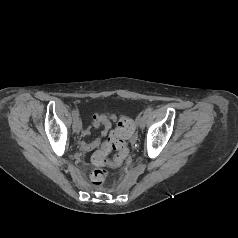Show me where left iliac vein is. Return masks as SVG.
Masks as SVG:
<instances>
[{"label":"left iliac vein","mask_w":238,"mask_h":238,"mask_svg":"<svg viewBox=\"0 0 238 238\" xmlns=\"http://www.w3.org/2000/svg\"><path fill=\"white\" fill-rule=\"evenodd\" d=\"M145 123H146V116L143 115L138 119L139 127L143 129L145 127Z\"/></svg>","instance_id":"obj_1"}]
</instances>
